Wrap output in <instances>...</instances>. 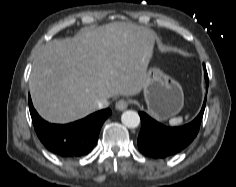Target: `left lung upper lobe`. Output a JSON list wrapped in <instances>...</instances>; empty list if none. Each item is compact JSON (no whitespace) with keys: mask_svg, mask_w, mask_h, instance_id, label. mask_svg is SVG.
Instances as JSON below:
<instances>
[{"mask_svg":"<svg viewBox=\"0 0 236 187\" xmlns=\"http://www.w3.org/2000/svg\"><path fill=\"white\" fill-rule=\"evenodd\" d=\"M208 79V75H207V72L205 71V80Z\"/></svg>","mask_w":236,"mask_h":187,"instance_id":"left-lung-upper-lobe-1","label":"left lung upper lobe"}]
</instances>
